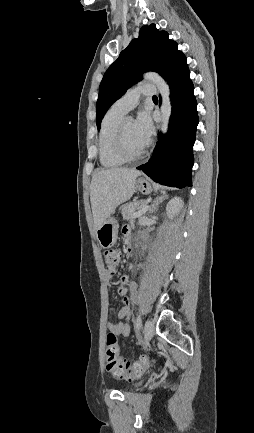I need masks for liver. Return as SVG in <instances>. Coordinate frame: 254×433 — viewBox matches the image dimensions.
<instances>
[{
    "label": "liver",
    "instance_id": "6515ba94",
    "mask_svg": "<svg viewBox=\"0 0 254 433\" xmlns=\"http://www.w3.org/2000/svg\"><path fill=\"white\" fill-rule=\"evenodd\" d=\"M141 172L128 168L98 169L90 185V201L97 230L113 211L135 192L136 178Z\"/></svg>",
    "mask_w": 254,
    "mask_h": 433
}]
</instances>
